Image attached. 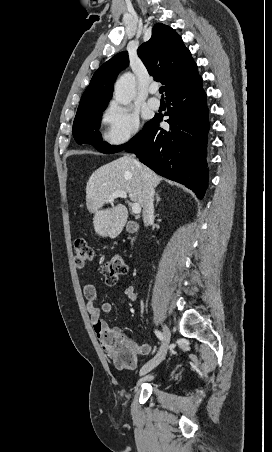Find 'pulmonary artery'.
Listing matches in <instances>:
<instances>
[{
    "label": "pulmonary artery",
    "instance_id": "pulmonary-artery-1",
    "mask_svg": "<svg viewBox=\"0 0 272 452\" xmlns=\"http://www.w3.org/2000/svg\"><path fill=\"white\" fill-rule=\"evenodd\" d=\"M156 92H157V87H156V86H151V87L149 88V93H150L151 95H155ZM148 105H149V107H150L151 109L157 110V109H159V107H160V100H159L158 98H156V97H150V98L148 99Z\"/></svg>",
    "mask_w": 272,
    "mask_h": 452
}]
</instances>
